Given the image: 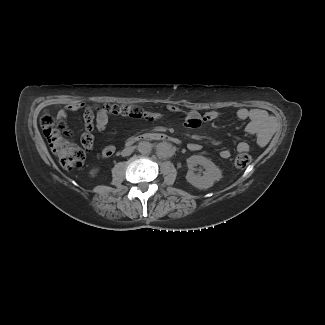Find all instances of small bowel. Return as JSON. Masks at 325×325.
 Wrapping results in <instances>:
<instances>
[{"instance_id":"1","label":"small bowel","mask_w":325,"mask_h":325,"mask_svg":"<svg viewBox=\"0 0 325 325\" xmlns=\"http://www.w3.org/2000/svg\"><path fill=\"white\" fill-rule=\"evenodd\" d=\"M84 108V121L85 132L82 135V144L87 150H92L94 145L93 131L102 132L106 129L109 116L108 114L99 111L94 117L91 109L86 107L84 103H72L59 110L56 114V130L59 134L66 133L70 139L76 136V132L65 122L66 116L70 112L77 111ZM167 109L171 113L183 112L181 108L175 105H168ZM236 116L240 120H248L249 123L246 127L247 132L258 135V143L264 144L268 135L272 129V121L270 117L261 109H247L240 108L236 112ZM224 114L220 111H208L204 114L199 113L196 110H189L185 113V126L190 129H198L203 124H208L219 119H222ZM160 118L157 113H150L149 119L156 120ZM188 148L192 151H198L201 149V145L197 142L189 143ZM238 152H246L250 150V145L247 142H240L236 147ZM115 153V146L111 144L104 145L99 153L98 157L106 159L111 157ZM220 157L228 159L231 157V151L224 149L220 152Z\"/></svg>"}]
</instances>
